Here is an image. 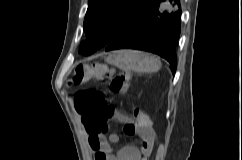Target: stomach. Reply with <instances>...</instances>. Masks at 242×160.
<instances>
[{"instance_id":"stomach-1","label":"stomach","mask_w":242,"mask_h":160,"mask_svg":"<svg viewBox=\"0 0 242 160\" xmlns=\"http://www.w3.org/2000/svg\"><path fill=\"white\" fill-rule=\"evenodd\" d=\"M106 61L126 72H153L160 67L155 57L136 50L114 51L107 57Z\"/></svg>"}]
</instances>
